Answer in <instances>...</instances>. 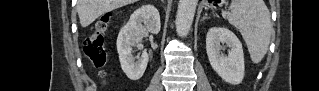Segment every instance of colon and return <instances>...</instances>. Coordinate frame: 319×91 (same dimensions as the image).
Listing matches in <instances>:
<instances>
[{"label": "colon", "instance_id": "1", "mask_svg": "<svg viewBox=\"0 0 319 91\" xmlns=\"http://www.w3.org/2000/svg\"><path fill=\"white\" fill-rule=\"evenodd\" d=\"M110 17L102 16L92 27L91 34L84 43V53L96 68H102L106 61L104 51V33L108 27Z\"/></svg>", "mask_w": 319, "mask_h": 91}]
</instances>
